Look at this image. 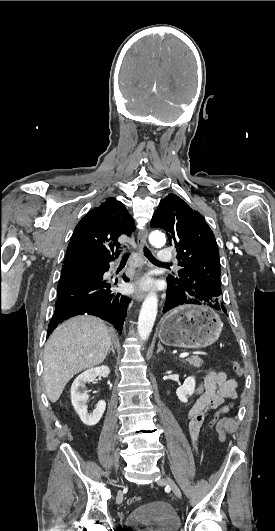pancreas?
<instances>
[{
  "instance_id": "pancreas-1",
  "label": "pancreas",
  "mask_w": 275,
  "mask_h": 531,
  "mask_svg": "<svg viewBox=\"0 0 275 531\" xmlns=\"http://www.w3.org/2000/svg\"><path fill=\"white\" fill-rule=\"evenodd\" d=\"M185 361H188L190 365H194V367H201L203 365L202 359L200 357H196V355H193V357H190V359H185Z\"/></svg>"
}]
</instances>
